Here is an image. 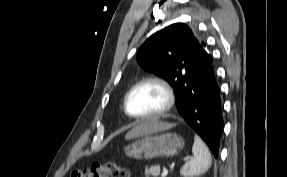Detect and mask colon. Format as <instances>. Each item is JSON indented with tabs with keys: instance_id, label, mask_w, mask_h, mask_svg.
<instances>
[{
	"instance_id": "colon-1",
	"label": "colon",
	"mask_w": 287,
	"mask_h": 177,
	"mask_svg": "<svg viewBox=\"0 0 287 177\" xmlns=\"http://www.w3.org/2000/svg\"><path fill=\"white\" fill-rule=\"evenodd\" d=\"M71 177H130V173L115 162H106L94 163L88 168L75 170Z\"/></svg>"
}]
</instances>
